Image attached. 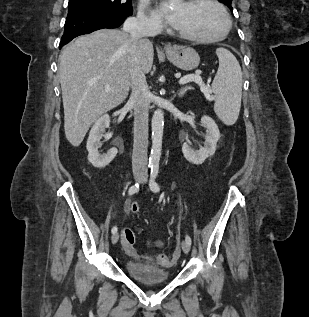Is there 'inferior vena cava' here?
<instances>
[{
	"mask_svg": "<svg viewBox=\"0 0 309 317\" xmlns=\"http://www.w3.org/2000/svg\"><path fill=\"white\" fill-rule=\"evenodd\" d=\"M123 31L128 32L131 40L135 42L143 37L155 36L159 31V25L155 22L130 17L124 22ZM130 84L132 89L130 102L134 109L132 168L135 172H144L147 168L150 90L148 88L145 73L143 72L135 53L132 57V67L130 69Z\"/></svg>",
	"mask_w": 309,
	"mask_h": 317,
	"instance_id": "1",
	"label": "inferior vena cava"
}]
</instances>
